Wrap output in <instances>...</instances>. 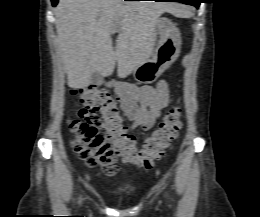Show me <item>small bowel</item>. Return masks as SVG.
<instances>
[{
    "instance_id": "1",
    "label": "small bowel",
    "mask_w": 260,
    "mask_h": 217,
    "mask_svg": "<svg viewBox=\"0 0 260 217\" xmlns=\"http://www.w3.org/2000/svg\"><path fill=\"white\" fill-rule=\"evenodd\" d=\"M106 86L115 92L122 113L133 129H150L169 102L170 88L165 80L159 81L155 87L120 81H109Z\"/></svg>"
}]
</instances>
